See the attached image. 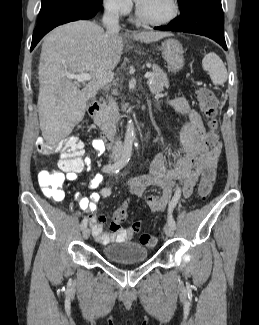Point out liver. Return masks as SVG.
<instances>
[{"label":"liver","instance_id":"liver-1","mask_svg":"<svg viewBox=\"0 0 259 325\" xmlns=\"http://www.w3.org/2000/svg\"><path fill=\"white\" fill-rule=\"evenodd\" d=\"M171 36L167 32L125 34L145 43ZM123 37L91 21L61 25L43 40L40 55L38 114L45 141L56 144L83 120L86 103L109 84L120 62ZM88 73L92 79L80 90L68 75Z\"/></svg>","mask_w":259,"mask_h":325}]
</instances>
